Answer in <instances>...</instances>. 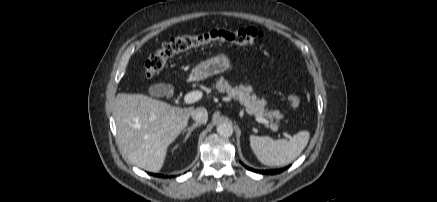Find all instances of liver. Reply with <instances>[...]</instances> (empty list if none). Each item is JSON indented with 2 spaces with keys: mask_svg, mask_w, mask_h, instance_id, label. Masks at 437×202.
<instances>
[{
  "mask_svg": "<svg viewBox=\"0 0 437 202\" xmlns=\"http://www.w3.org/2000/svg\"><path fill=\"white\" fill-rule=\"evenodd\" d=\"M193 110L143 94H117L113 112L122 152L138 167L160 171L168 146L187 126Z\"/></svg>",
  "mask_w": 437,
  "mask_h": 202,
  "instance_id": "6515ba94",
  "label": "liver"
}]
</instances>
